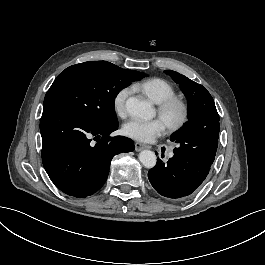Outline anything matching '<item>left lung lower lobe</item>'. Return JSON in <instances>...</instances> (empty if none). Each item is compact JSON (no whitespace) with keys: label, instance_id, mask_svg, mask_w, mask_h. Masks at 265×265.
<instances>
[{"label":"left lung lower lobe","instance_id":"1","mask_svg":"<svg viewBox=\"0 0 265 265\" xmlns=\"http://www.w3.org/2000/svg\"><path fill=\"white\" fill-rule=\"evenodd\" d=\"M209 171L204 166H196L181 156L174 155L167 164L158 160L156 166L149 170L148 178L160 195L183 200L197 191Z\"/></svg>","mask_w":265,"mask_h":265}]
</instances>
